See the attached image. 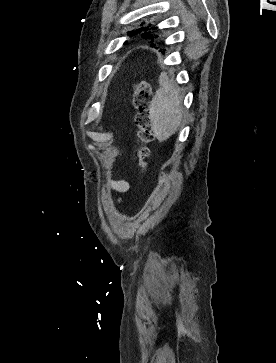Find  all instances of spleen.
Returning a JSON list of instances; mask_svg holds the SVG:
<instances>
[{
	"mask_svg": "<svg viewBox=\"0 0 276 363\" xmlns=\"http://www.w3.org/2000/svg\"><path fill=\"white\" fill-rule=\"evenodd\" d=\"M179 87L172 82L166 72L159 76V89L152 100L150 120L155 137L166 141L178 130L183 115Z\"/></svg>",
	"mask_w": 276,
	"mask_h": 363,
	"instance_id": "1",
	"label": "spleen"
}]
</instances>
